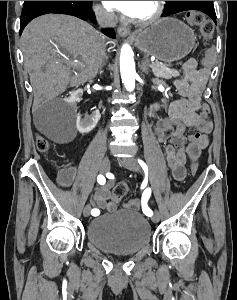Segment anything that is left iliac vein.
<instances>
[{
	"mask_svg": "<svg viewBox=\"0 0 237 300\" xmlns=\"http://www.w3.org/2000/svg\"><path fill=\"white\" fill-rule=\"evenodd\" d=\"M118 162L120 165H122L123 167H125L127 169H130L135 172H142V169H141L139 163L135 159L123 158V159H119ZM159 218H160V214H159L158 210L155 209L152 219L154 222H158Z\"/></svg>",
	"mask_w": 237,
	"mask_h": 300,
	"instance_id": "1",
	"label": "left iliac vein"
}]
</instances>
